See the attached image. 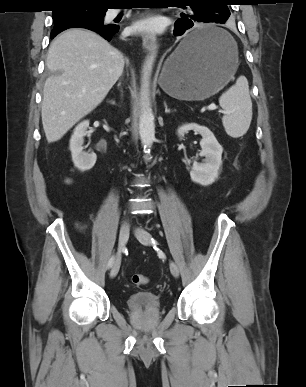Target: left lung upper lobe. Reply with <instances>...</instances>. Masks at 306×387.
Listing matches in <instances>:
<instances>
[{
  "instance_id": "left-lung-upper-lobe-1",
  "label": "left lung upper lobe",
  "mask_w": 306,
  "mask_h": 387,
  "mask_svg": "<svg viewBox=\"0 0 306 387\" xmlns=\"http://www.w3.org/2000/svg\"><path fill=\"white\" fill-rule=\"evenodd\" d=\"M191 7L190 14H181V17H194L199 22L225 23L230 15L227 0H185ZM186 7V6H185Z\"/></svg>"
}]
</instances>
